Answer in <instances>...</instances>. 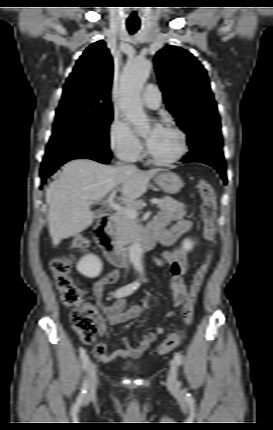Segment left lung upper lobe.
<instances>
[{
    "label": "left lung upper lobe",
    "mask_w": 273,
    "mask_h": 430,
    "mask_svg": "<svg viewBox=\"0 0 273 430\" xmlns=\"http://www.w3.org/2000/svg\"><path fill=\"white\" fill-rule=\"evenodd\" d=\"M154 61L167 109L187 134L188 143H195L205 132L221 136L217 105L200 62L176 46L158 51Z\"/></svg>",
    "instance_id": "5c2ea615"
}]
</instances>
